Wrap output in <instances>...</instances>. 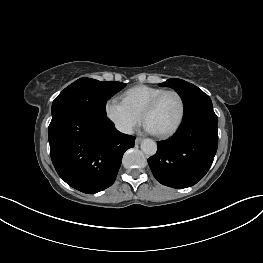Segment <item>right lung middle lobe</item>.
I'll return each mask as SVG.
<instances>
[{"label":"right lung middle lobe","instance_id":"dd1d6c3e","mask_svg":"<svg viewBox=\"0 0 263 263\" xmlns=\"http://www.w3.org/2000/svg\"><path fill=\"white\" fill-rule=\"evenodd\" d=\"M125 87V83L80 78L66 87L52 104V118L64 111L81 110L106 115V101Z\"/></svg>","mask_w":263,"mask_h":263}]
</instances>
